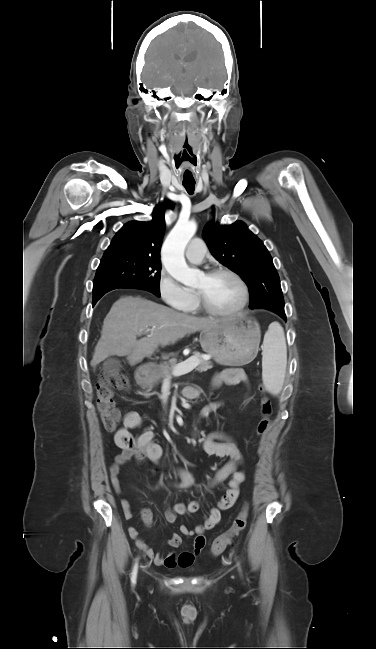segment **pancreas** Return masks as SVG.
I'll use <instances>...</instances> for the list:
<instances>
[{
	"instance_id": "pancreas-1",
	"label": "pancreas",
	"mask_w": 376,
	"mask_h": 649,
	"mask_svg": "<svg viewBox=\"0 0 376 649\" xmlns=\"http://www.w3.org/2000/svg\"><path fill=\"white\" fill-rule=\"evenodd\" d=\"M197 355V354H196ZM180 363H177L176 360H170L169 362H164L160 365L155 366V372L153 373V377L150 381V385L157 384L159 382H162L164 379L172 378V370L174 369L175 366H177ZM213 365L211 362L199 359V364L196 367V371L198 372H205L208 369H211Z\"/></svg>"
}]
</instances>
